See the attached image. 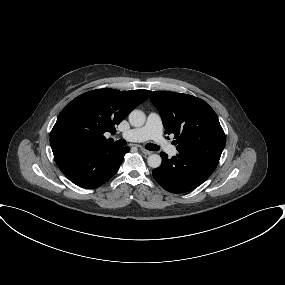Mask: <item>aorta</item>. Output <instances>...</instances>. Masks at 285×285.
<instances>
[{"label":"aorta","instance_id":"aorta-1","mask_svg":"<svg viewBox=\"0 0 285 285\" xmlns=\"http://www.w3.org/2000/svg\"><path fill=\"white\" fill-rule=\"evenodd\" d=\"M146 116L145 113L141 110H133L129 114V122L134 127H141L145 124ZM162 159L161 156L158 154H151L148 159L147 163L151 168H158L161 165Z\"/></svg>","mask_w":285,"mask_h":285}]
</instances>
